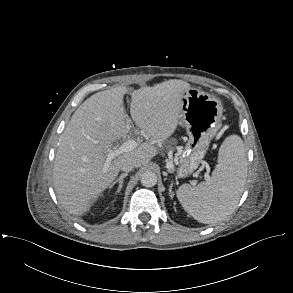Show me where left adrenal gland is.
<instances>
[{
	"label": "left adrenal gland",
	"mask_w": 293,
	"mask_h": 293,
	"mask_svg": "<svg viewBox=\"0 0 293 293\" xmlns=\"http://www.w3.org/2000/svg\"><path fill=\"white\" fill-rule=\"evenodd\" d=\"M169 194H170L171 197H173V195H174L173 192H172V184L169 187Z\"/></svg>",
	"instance_id": "a2214340"
}]
</instances>
